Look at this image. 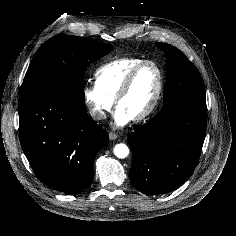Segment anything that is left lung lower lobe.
Here are the masks:
<instances>
[{"label":"left lung lower lobe","instance_id":"1","mask_svg":"<svg viewBox=\"0 0 236 236\" xmlns=\"http://www.w3.org/2000/svg\"><path fill=\"white\" fill-rule=\"evenodd\" d=\"M207 123L206 97L181 99L129 134L130 180L144 194H164L181 186L198 164Z\"/></svg>","mask_w":236,"mask_h":236}]
</instances>
